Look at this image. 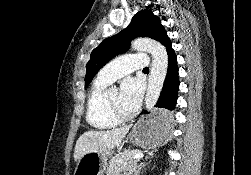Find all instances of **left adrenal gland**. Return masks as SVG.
Returning a JSON list of instances; mask_svg holds the SVG:
<instances>
[{
	"label": "left adrenal gland",
	"mask_w": 251,
	"mask_h": 175,
	"mask_svg": "<svg viewBox=\"0 0 251 175\" xmlns=\"http://www.w3.org/2000/svg\"><path fill=\"white\" fill-rule=\"evenodd\" d=\"M142 167H145V161H141L140 165H135L134 167V175H138V173H140Z\"/></svg>",
	"instance_id": "a2214340"
}]
</instances>
